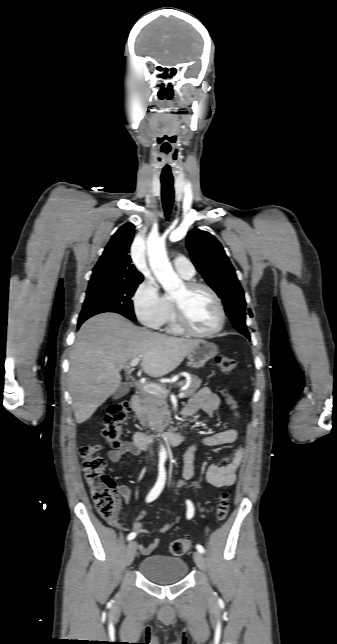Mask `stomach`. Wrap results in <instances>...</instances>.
<instances>
[{"instance_id":"obj_1","label":"stomach","mask_w":337,"mask_h":644,"mask_svg":"<svg viewBox=\"0 0 337 644\" xmlns=\"http://www.w3.org/2000/svg\"><path fill=\"white\" fill-rule=\"evenodd\" d=\"M218 347L216 344L206 340H200L199 344L187 356L189 363L194 368H201L205 363L216 356Z\"/></svg>"}]
</instances>
